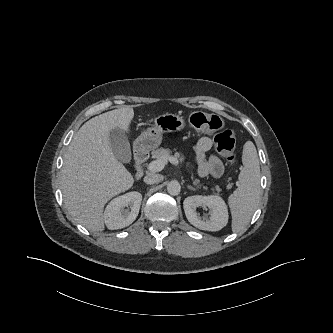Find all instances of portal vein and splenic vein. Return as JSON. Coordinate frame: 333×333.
Returning a JSON list of instances; mask_svg holds the SVG:
<instances>
[{
	"mask_svg": "<svg viewBox=\"0 0 333 333\" xmlns=\"http://www.w3.org/2000/svg\"><path fill=\"white\" fill-rule=\"evenodd\" d=\"M168 161H170V163H172L174 165L178 164V159L176 157L170 156L168 159L163 158V159H157V160L152 161L147 166V170L149 172H159L165 167V165L167 164Z\"/></svg>",
	"mask_w": 333,
	"mask_h": 333,
	"instance_id": "18ae733b",
	"label": "portal vein and splenic vein"
}]
</instances>
